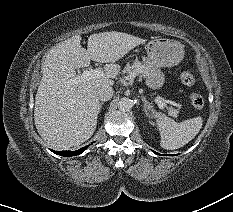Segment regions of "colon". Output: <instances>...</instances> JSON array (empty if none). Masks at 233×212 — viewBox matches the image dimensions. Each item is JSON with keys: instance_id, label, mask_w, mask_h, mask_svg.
I'll return each mask as SVG.
<instances>
[{"instance_id": "obj_1", "label": "colon", "mask_w": 233, "mask_h": 212, "mask_svg": "<svg viewBox=\"0 0 233 212\" xmlns=\"http://www.w3.org/2000/svg\"><path fill=\"white\" fill-rule=\"evenodd\" d=\"M180 78H181L182 83L188 87H192L195 85L196 81H195L194 76L187 71L182 72L180 75ZM190 100H191V104L194 107V109L199 111L204 107V100L200 94L191 93Z\"/></svg>"}]
</instances>
